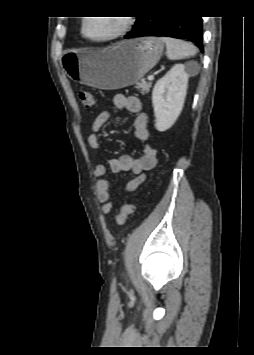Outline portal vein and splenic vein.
I'll use <instances>...</instances> for the list:
<instances>
[{
  "instance_id": "portal-vein-and-splenic-vein-1",
  "label": "portal vein and splenic vein",
  "mask_w": 254,
  "mask_h": 355,
  "mask_svg": "<svg viewBox=\"0 0 254 355\" xmlns=\"http://www.w3.org/2000/svg\"><path fill=\"white\" fill-rule=\"evenodd\" d=\"M153 78H154L153 75H149V76H148V80H152Z\"/></svg>"
}]
</instances>
